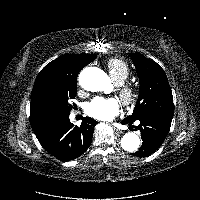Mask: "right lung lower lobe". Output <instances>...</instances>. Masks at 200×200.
Wrapping results in <instances>:
<instances>
[{"label":"right lung lower lobe","instance_id":"right-lung-lower-lobe-1","mask_svg":"<svg viewBox=\"0 0 200 200\" xmlns=\"http://www.w3.org/2000/svg\"><path fill=\"white\" fill-rule=\"evenodd\" d=\"M70 112L30 115V124L42 147L62 161L82 155L93 138L96 121L84 117L80 126L69 121Z\"/></svg>","mask_w":200,"mask_h":200}]
</instances>
